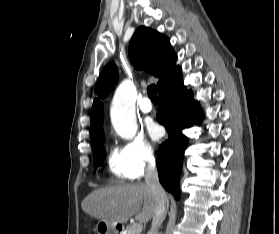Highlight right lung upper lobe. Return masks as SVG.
I'll list each match as a JSON object with an SVG mask.
<instances>
[{"label":"right lung upper lobe","instance_id":"right-lung-upper-lobe-1","mask_svg":"<svg viewBox=\"0 0 279 234\" xmlns=\"http://www.w3.org/2000/svg\"><path fill=\"white\" fill-rule=\"evenodd\" d=\"M129 57L136 68L151 72L159 78L158 91L166 86L179 72L175 65L177 55L174 53L169 39L159 32L141 26L134 33L129 43ZM118 80V71L114 63L107 64L96 83L95 93L105 98ZM95 98L91 109L90 135L92 144L104 137L103 104Z\"/></svg>","mask_w":279,"mask_h":234}]
</instances>
